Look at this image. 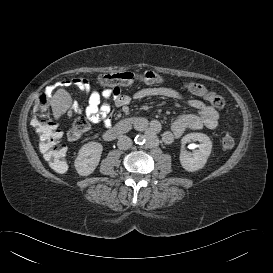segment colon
Listing matches in <instances>:
<instances>
[{
	"instance_id": "1",
	"label": "colon",
	"mask_w": 273,
	"mask_h": 273,
	"mask_svg": "<svg viewBox=\"0 0 273 273\" xmlns=\"http://www.w3.org/2000/svg\"><path fill=\"white\" fill-rule=\"evenodd\" d=\"M98 82L103 86L119 88V86H128L136 82L158 84L162 82V77L152 70L137 72L125 71L101 74L98 77ZM190 88L195 94L204 96L213 107L222 109L225 106V100L221 95L209 91L203 85L193 82L191 83ZM50 100V92H40L34 107L31 125L39 135L40 149L44 159L56 172L64 173L67 170L65 161L66 148L62 143V133L59 130L57 123L50 118ZM89 129L90 123L88 119L79 117L74 121L70 128L68 137L71 140H76ZM221 144L225 149H231L235 144V140L231 135H225L221 139Z\"/></svg>"
}]
</instances>
